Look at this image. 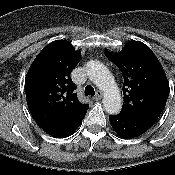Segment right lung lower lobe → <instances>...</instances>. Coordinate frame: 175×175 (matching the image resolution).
<instances>
[{"label": "right lung lower lobe", "instance_id": "obj_1", "mask_svg": "<svg viewBox=\"0 0 175 175\" xmlns=\"http://www.w3.org/2000/svg\"><path fill=\"white\" fill-rule=\"evenodd\" d=\"M84 117L73 123H61L53 127L44 128L43 130L54 138H65L74 133Z\"/></svg>", "mask_w": 175, "mask_h": 175}]
</instances>
